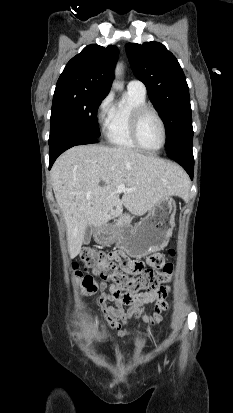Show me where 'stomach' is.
I'll return each instance as SVG.
<instances>
[{
    "mask_svg": "<svg viewBox=\"0 0 233 413\" xmlns=\"http://www.w3.org/2000/svg\"><path fill=\"white\" fill-rule=\"evenodd\" d=\"M175 214L176 203L169 196L153 206L134 227L106 224L94 231V239L102 245L116 243L127 255L140 258L166 247L175 225Z\"/></svg>",
    "mask_w": 233,
    "mask_h": 413,
    "instance_id": "obj_1",
    "label": "stomach"
}]
</instances>
